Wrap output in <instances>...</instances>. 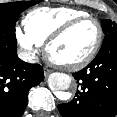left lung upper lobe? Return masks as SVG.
<instances>
[{
	"instance_id": "obj_1",
	"label": "left lung upper lobe",
	"mask_w": 117,
	"mask_h": 117,
	"mask_svg": "<svg viewBox=\"0 0 117 117\" xmlns=\"http://www.w3.org/2000/svg\"><path fill=\"white\" fill-rule=\"evenodd\" d=\"M102 29L105 33V38L103 42L111 38L113 35L117 34V24L111 20L103 19Z\"/></svg>"
}]
</instances>
